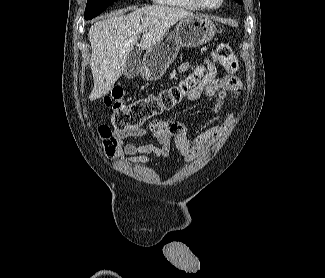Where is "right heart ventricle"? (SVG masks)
<instances>
[{"label": "right heart ventricle", "instance_id": "1", "mask_svg": "<svg viewBox=\"0 0 325 278\" xmlns=\"http://www.w3.org/2000/svg\"><path fill=\"white\" fill-rule=\"evenodd\" d=\"M153 1H155L160 5L184 9V10L202 9L194 0H153Z\"/></svg>", "mask_w": 325, "mask_h": 278}]
</instances>
